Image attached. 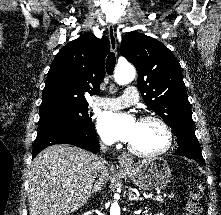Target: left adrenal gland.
I'll list each match as a JSON object with an SVG mask.
<instances>
[{
    "mask_svg": "<svg viewBox=\"0 0 221 215\" xmlns=\"http://www.w3.org/2000/svg\"><path fill=\"white\" fill-rule=\"evenodd\" d=\"M128 198H129L130 201H135V200L138 201V200H141V198L136 197V196L133 194L131 188L129 189V192H128Z\"/></svg>",
    "mask_w": 221,
    "mask_h": 215,
    "instance_id": "left-adrenal-gland-1",
    "label": "left adrenal gland"
}]
</instances>
